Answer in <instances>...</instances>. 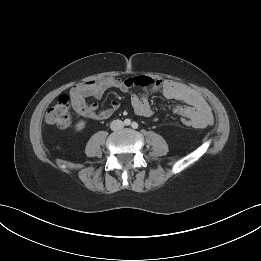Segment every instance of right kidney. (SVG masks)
<instances>
[{"label":"right kidney","instance_id":"obj_1","mask_svg":"<svg viewBox=\"0 0 261 261\" xmlns=\"http://www.w3.org/2000/svg\"><path fill=\"white\" fill-rule=\"evenodd\" d=\"M85 127V121H79L77 124H76V126H75V128H76V130L77 131H81L83 128Z\"/></svg>","mask_w":261,"mask_h":261}]
</instances>
